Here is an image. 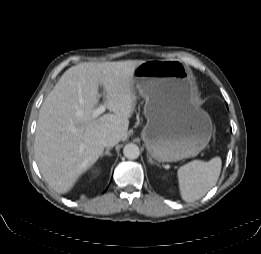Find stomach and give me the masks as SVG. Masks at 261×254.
Listing matches in <instances>:
<instances>
[{
  "instance_id": "obj_1",
  "label": "stomach",
  "mask_w": 261,
  "mask_h": 254,
  "mask_svg": "<svg viewBox=\"0 0 261 254\" xmlns=\"http://www.w3.org/2000/svg\"><path fill=\"white\" fill-rule=\"evenodd\" d=\"M133 85L145 99L142 139L151 157L174 162L194 157L208 145L211 118L195 105L196 87L184 64L145 61L135 69Z\"/></svg>"
}]
</instances>
